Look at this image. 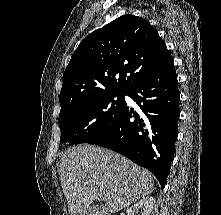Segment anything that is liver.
Listing matches in <instances>:
<instances>
[{"instance_id":"6515ba94","label":"liver","mask_w":221,"mask_h":215,"mask_svg":"<svg viewBox=\"0 0 221 215\" xmlns=\"http://www.w3.org/2000/svg\"><path fill=\"white\" fill-rule=\"evenodd\" d=\"M59 173L70 215H85L99 195L107 212H119L151 194L155 186L148 170L121 154L88 144L63 152Z\"/></svg>"}]
</instances>
